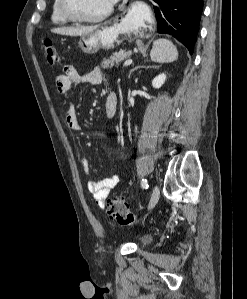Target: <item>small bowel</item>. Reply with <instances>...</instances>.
<instances>
[{
	"instance_id": "c3829d8e",
	"label": "small bowel",
	"mask_w": 247,
	"mask_h": 299,
	"mask_svg": "<svg viewBox=\"0 0 247 299\" xmlns=\"http://www.w3.org/2000/svg\"><path fill=\"white\" fill-rule=\"evenodd\" d=\"M102 73L100 69L94 68L84 73H79L74 67H65L63 73L56 76L55 83L58 92L67 97L72 86L76 84H90L96 85L101 81ZM107 103H114L117 105V98L114 93H110L107 97ZM65 106V121L69 128L78 130L81 128L79 118L76 114L74 104L71 100L64 102ZM81 168L85 174L90 173V162L84 158L80 162ZM120 180L119 175L111 177L97 178L88 182V190L93 195L97 205L101 208L105 206L107 197L111 190L118 184Z\"/></svg>"
}]
</instances>
